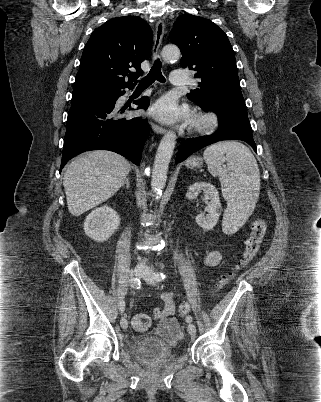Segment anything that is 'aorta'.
Returning <instances> with one entry per match:
<instances>
[{
  "mask_svg": "<svg viewBox=\"0 0 321 402\" xmlns=\"http://www.w3.org/2000/svg\"><path fill=\"white\" fill-rule=\"evenodd\" d=\"M162 58L165 61L177 60L180 57V50L175 45H167L162 49ZM176 134L168 131L162 138L156 152L153 165L151 187L154 193L161 194L167 180L168 166L175 148Z\"/></svg>",
  "mask_w": 321,
  "mask_h": 402,
  "instance_id": "1",
  "label": "aorta"
}]
</instances>
